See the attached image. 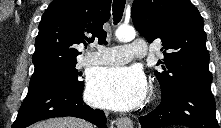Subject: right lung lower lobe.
I'll return each mask as SVG.
<instances>
[{
  "label": "right lung lower lobe",
  "instance_id": "right-lung-lower-lobe-1",
  "mask_svg": "<svg viewBox=\"0 0 221 128\" xmlns=\"http://www.w3.org/2000/svg\"><path fill=\"white\" fill-rule=\"evenodd\" d=\"M82 92L83 89L60 83L28 91L12 128H25L40 120L62 116L82 118L99 128H107L104 112L86 105Z\"/></svg>",
  "mask_w": 221,
  "mask_h": 128
}]
</instances>
